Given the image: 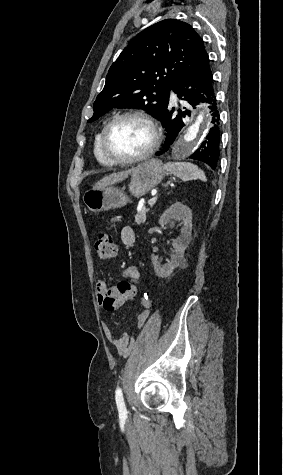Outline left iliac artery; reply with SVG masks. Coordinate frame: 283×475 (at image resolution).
<instances>
[{"mask_svg":"<svg viewBox=\"0 0 283 475\" xmlns=\"http://www.w3.org/2000/svg\"><path fill=\"white\" fill-rule=\"evenodd\" d=\"M115 399H116V404H117V408H118V411H119V415L126 416L127 410H126V407H125L122 390L120 388H117V390H116Z\"/></svg>","mask_w":283,"mask_h":475,"instance_id":"obj_1","label":"left iliac artery"}]
</instances>
